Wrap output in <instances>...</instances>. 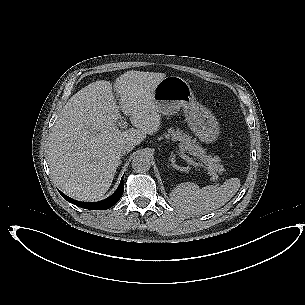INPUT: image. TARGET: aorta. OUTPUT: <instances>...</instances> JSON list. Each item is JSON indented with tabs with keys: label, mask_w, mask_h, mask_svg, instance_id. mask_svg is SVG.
Returning a JSON list of instances; mask_svg holds the SVG:
<instances>
[{
	"label": "aorta",
	"mask_w": 305,
	"mask_h": 305,
	"mask_svg": "<svg viewBox=\"0 0 305 305\" xmlns=\"http://www.w3.org/2000/svg\"><path fill=\"white\" fill-rule=\"evenodd\" d=\"M151 167V159L149 154H137L132 160V168L137 173H144Z\"/></svg>",
	"instance_id": "1"
}]
</instances>
